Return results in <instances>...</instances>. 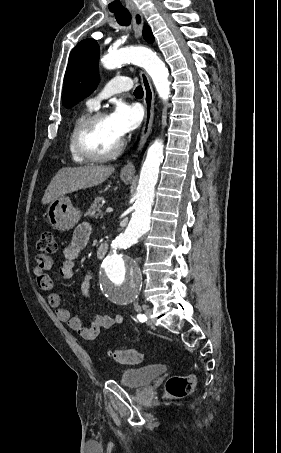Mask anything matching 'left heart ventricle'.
I'll return each instance as SVG.
<instances>
[{
  "label": "left heart ventricle",
  "instance_id": "obj_1",
  "mask_svg": "<svg viewBox=\"0 0 281 453\" xmlns=\"http://www.w3.org/2000/svg\"><path fill=\"white\" fill-rule=\"evenodd\" d=\"M122 139L113 128L109 118L100 122L92 131L89 146L96 153L112 151Z\"/></svg>",
  "mask_w": 281,
  "mask_h": 453
}]
</instances>
